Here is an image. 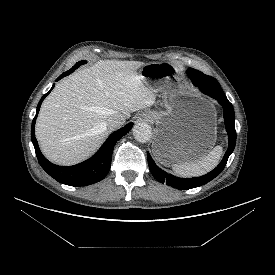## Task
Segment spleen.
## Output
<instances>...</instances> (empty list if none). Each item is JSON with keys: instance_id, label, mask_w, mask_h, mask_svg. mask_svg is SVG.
Here are the masks:
<instances>
[{"instance_id": "spleen-1", "label": "spleen", "mask_w": 275, "mask_h": 275, "mask_svg": "<svg viewBox=\"0 0 275 275\" xmlns=\"http://www.w3.org/2000/svg\"><path fill=\"white\" fill-rule=\"evenodd\" d=\"M221 146H216L202 159L190 163H177L172 165L176 175L181 177L201 176L211 171L218 164L222 155Z\"/></svg>"}]
</instances>
